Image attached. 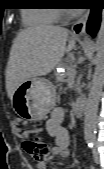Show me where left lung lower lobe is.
<instances>
[{"label":"left lung lower lobe","instance_id":"obj_1","mask_svg":"<svg viewBox=\"0 0 104 169\" xmlns=\"http://www.w3.org/2000/svg\"><path fill=\"white\" fill-rule=\"evenodd\" d=\"M101 9H92L87 23V32L95 36L100 25Z\"/></svg>","mask_w":104,"mask_h":169}]
</instances>
